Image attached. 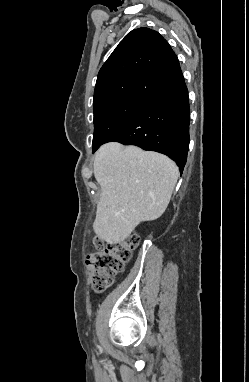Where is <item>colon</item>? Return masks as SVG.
Masks as SVG:
<instances>
[{
	"mask_svg": "<svg viewBox=\"0 0 249 382\" xmlns=\"http://www.w3.org/2000/svg\"><path fill=\"white\" fill-rule=\"evenodd\" d=\"M93 245L95 250L87 255L86 264L92 272V289L100 293L110 287L114 275L124 270L125 264L139 245V237L130 235L123 241L111 245L94 238Z\"/></svg>",
	"mask_w": 249,
	"mask_h": 382,
	"instance_id": "colon-1",
	"label": "colon"
}]
</instances>
